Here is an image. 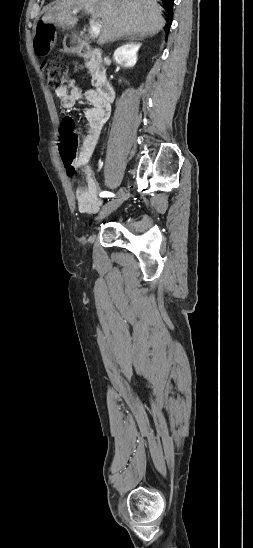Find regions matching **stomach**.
I'll use <instances>...</instances> for the list:
<instances>
[{
  "label": "stomach",
  "mask_w": 253,
  "mask_h": 548,
  "mask_svg": "<svg viewBox=\"0 0 253 548\" xmlns=\"http://www.w3.org/2000/svg\"><path fill=\"white\" fill-rule=\"evenodd\" d=\"M65 49L69 52H75L77 50V46H74L71 43L67 44L65 42Z\"/></svg>",
  "instance_id": "obj_1"
}]
</instances>
